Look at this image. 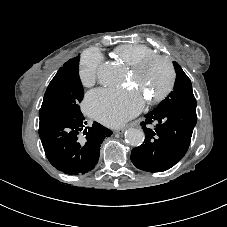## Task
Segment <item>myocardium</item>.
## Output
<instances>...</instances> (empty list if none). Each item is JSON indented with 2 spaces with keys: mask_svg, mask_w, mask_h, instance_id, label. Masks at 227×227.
<instances>
[{
  "mask_svg": "<svg viewBox=\"0 0 227 227\" xmlns=\"http://www.w3.org/2000/svg\"><path fill=\"white\" fill-rule=\"evenodd\" d=\"M155 62H162L166 66L168 71V82L165 88L159 94L149 99L150 104H156L163 101L172 91L176 79L175 69L171 60L161 55H154L141 60L140 62L132 66V72L134 75L139 76Z\"/></svg>",
  "mask_w": 227,
  "mask_h": 227,
  "instance_id": "1",
  "label": "myocardium"
}]
</instances>
